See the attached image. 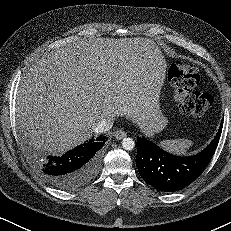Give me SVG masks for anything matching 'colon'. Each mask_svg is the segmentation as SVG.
<instances>
[{
  "instance_id": "colon-1",
  "label": "colon",
  "mask_w": 231,
  "mask_h": 231,
  "mask_svg": "<svg viewBox=\"0 0 231 231\" xmlns=\"http://www.w3.org/2000/svg\"><path fill=\"white\" fill-rule=\"evenodd\" d=\"M169 80L175 90L179 109L187 115L199 116L210 109L213 97L210 94L194 91L199 80L195 65L179 62L169 70Z\"/></svg>"
}]
</instances>
